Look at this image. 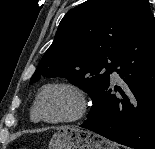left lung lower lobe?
<instances>
[{"mask_svg": "<svg viewBox=\"0 0 155 149\" xmlns=\"http://www.w3.org/2000/svg\"><path fill=\"white\" fill-rule=\"evenodd\" d=\"M124 81L116 97L110 82L93 98L83 128L134 149H155V25L147 15L115 58Z\"/></svg>", "mask_w": 155, "mask_h": 149, "instance_id": "left-lung-lower-lobe-1", "label": "left lung lower lobe"}]
</instances>
